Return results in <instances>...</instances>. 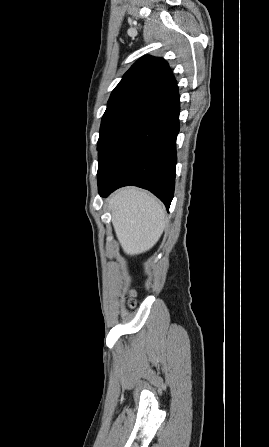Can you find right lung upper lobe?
<instances>
[{
    "mask_svg": "<svg viewBox=\"0 0 269 447\" xmlns=\"http://www.w3.org/2000/svg\"><path fill=\"white\" fill-rule=\"evenodd\" d=\"M174 85L176 80L164 59L144 56L125 73L113 90L104 114L124 109L136 111Z\"/></svg>",
    "mask_w": 269,
    "mask_h": 447,
    "instance_id": "obj_1",
    "label": "right lung upper lobe"
}]
</instances>
